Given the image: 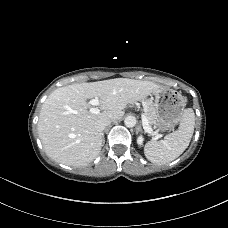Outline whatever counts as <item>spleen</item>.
Returning a JSON list of instances; mask_svg holds the SVG:
<instances>
[{
	"instance_id": "spleen-1",
	"label": "spleen",
	"mask_w": 228,
	"mask_h": 228,
	"mask_svg": "<svg viewBox=\"0 0 228 228\" xmlns=\"http://www.w3.org/2000/svg\"><path fill=\"white\" fill-rule=\"evenodd\" d=\"M195 125V114L191 108L185 109L179 129L159 141L151 140L144 148L146 158L154 164H167L179 157L188 147Z\"/></svg>"
}]
</instances>
